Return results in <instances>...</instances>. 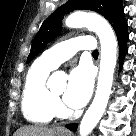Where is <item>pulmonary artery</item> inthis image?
<instances>
[{
    "label": "pulmonary artery",
    "instance_id": "pulmonary-artery-1",
    "mask_svg": "<svg viewBox=\"0 0 136 136\" xmlns=\"http://www.w3.org/2000/svg\"><path fill=\"white\" fill-rule=\"evenodd\" d=\"M96 43L94 38L89 36L71 38L60 42L46 50L40 60L51 68H56L62 62L71 58L79 50H94Z\"/></svg>",
    "mask_w": 136,
    "mask_h": 136
}]
</instances>
